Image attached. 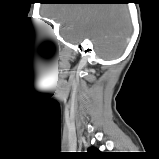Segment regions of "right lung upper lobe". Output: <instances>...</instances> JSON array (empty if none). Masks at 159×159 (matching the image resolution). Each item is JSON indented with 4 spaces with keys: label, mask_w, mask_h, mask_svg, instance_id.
Segmentation results:
<instances>
[{
    "label": "right lung upper lobe",
    "mask_w": 159,
    "mask_h": 159,
    "mask_svg": "<svg viewBox=\"0 0 159 159\" xmlns=\"http://www.w3.org/2000/svg\"><path fill=\"white\" fill-rule=\"evenodd\" d=\"M90 153H95V152H97V150L96 149H94V148H89V150H88Z\"/></svg>",
    "instance_id": "1"
}]
</instances>
